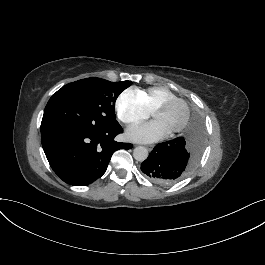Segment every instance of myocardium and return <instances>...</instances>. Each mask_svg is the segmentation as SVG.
<instances>
[{
  "instance_id": "1",
  "label": "myocardium",
  "mask_w": 265,
  "mask_h": 265,
  "mask_svg": "<svg viewBox=\"0 0 265 265\" xmlns=\"http://www.w3.org/2000/svg\"><path fill=\"white\" fill-rule=\"evenodd\" d=\"M174 102H178L179 104H181V106L183 108V116H182L181 120L168 131L169 133L179 132V131L183 130L184 127L187 125V122H188L189 116H190V109H189V106L186 103V101L181 99V98L171 96V97H168V98H165V99L159 101L153 107V109L151 111V116L153 117L158 110H160V109H162V108H164V107H166L169 104L174 103Z\"/></svg>"
}]
</instances>
